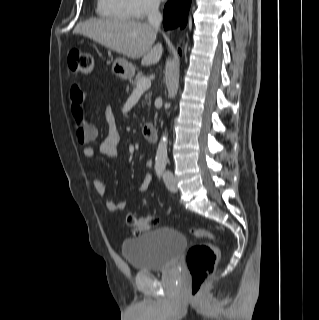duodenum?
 Here are the masks:
<instances>
[{
    "label": "duodenum",
    "mask_w": 319,
    "mask_h": 320,
    "mask_svg": "<svg viewBox=\"0 0 319 320\" xmlns=\"http://www.w3.org/2000/svg\"><path fill=\"white\" fill-rule=\"evenodd\" d=\"M143 135L149 142L157 141V129L154 124H145L143 126Z\"/></svg>",
    "instance_id": "obj_1"
}]
</instances>
